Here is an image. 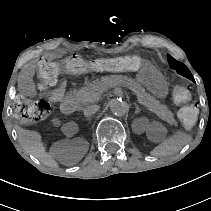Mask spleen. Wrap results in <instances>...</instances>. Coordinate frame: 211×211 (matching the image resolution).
I'll return each instance as SVG.
<instances>
[{"label":"spleen","mask_w":211,"mask_h":211,"mask_svg":"<svg viewBox=\"0 0 211 211\" xmlns=\"http://www.w3.org/2000/svg\"><path fill=\"white\" fill-rule=\"evenodd\" d=\"M191 140L192 136L183 132H176L156 146L150 154L156 157L170 156L181 150L185 145L190 143Z\"/></svg>","instance_id":"spleen-1"}]
</instances>
